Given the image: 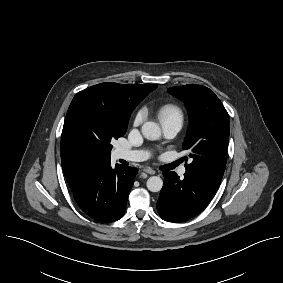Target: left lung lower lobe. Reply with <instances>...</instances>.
Returning <instances> with one entry per match:
<instances>
[{"label":"left lung lower lobe","instance_id":"1","mask_svg":"<svg viewBox=\"0 0 283 283\" xmlns=\"http://www.w3.org/2000/svg\"><path fill=\"white\" fill-rule=\"evenodd\" d=\"M163 176L157 210L165 221L182 222L197 215L216 193L188 173L183 179L175 172H164Z\"/></svg>","mask_w":283,"mask_h":283}]
</instances>
